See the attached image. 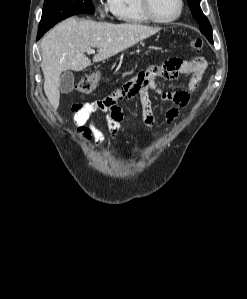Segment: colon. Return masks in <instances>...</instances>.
I'll return each instance as SVG.
<instances>
[{"label": "colon", "instance_id": "obj_1", "mask_svg": "<svg viewBox=\"0 0 247 299\" xmlns=\"http://www.w3.org/2000/svg\"><path fill=\"white\" fill-rule=\"evenodd\" d=\"M190 46L195 51H200L203 47V41L200 38H193L190 41ZM100 79L99 74L93 73L83 76L77 83V91L81 94L92 93Z\"/></svg>", "mask_w": 247, "mask_h": 299}]
</instances>
